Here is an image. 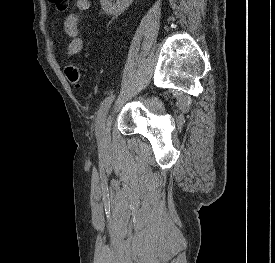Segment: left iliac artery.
I'll return each mask as SVG.
<instances>
[{"label": "left iliac artery", "mask_w": 275, "mask_h": 263, "mask_svg": "<svg viewBox=\"0 0 275 263\" xmlns=\"http://www.w3.org/2000/svg\"><path fill=\"white\" fill-rule=\"evenodd\" d=\"M115 99V95H110L107 98H105L99 108L97 119H96V136L100 140L101 139V128L104 121V118L106 117V114L112 104V102Z\"/></svg>", "instance_id": "44dca946"}]
</instances>
